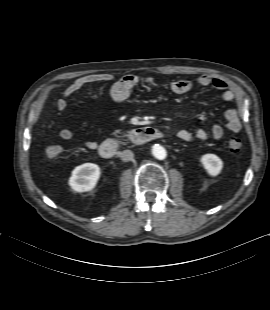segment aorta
Here are the masks:
<instances>
[{"instance_id":"obj_1","label":"aorta","mask_w":270,"mask_h":310,"mask_svg":"<svg viewBox=\"0 0 270 310\" xmlns=\"http://www.w3.org/2000/svg\"><path fill=\"white\" fill-rule=\"evenodd\" d=\"M152 153L154 155L155 158L159 159V160H163L166 158V150L164 147H162L161 145H154L152 147Z\"/></svg>"}]
</instances>
